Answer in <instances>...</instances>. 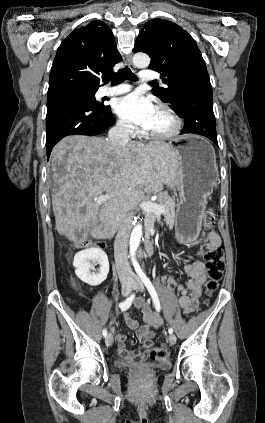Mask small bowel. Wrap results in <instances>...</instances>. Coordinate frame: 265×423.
<instances>
[{"mask_svg": "<svg viewBox=\"0 0 265 423\" xmlns=\"http://www.w3.org/2000/svg\"><path fill=\"white\" fill-rule=\"evenodd\" d=\"M207 242L209 246H219L221 239L215 231H207L201 238ZM203 251L201 250L199 254ZM185 273L189 279L186 283L180 284L172 278H164V281L173 287L178 294V301L185 313H192L198 308V301L201 295V288L206 279L205 264L197 258L190 264L186 265ZM133 307L139 311L141 322L130 316L127 312L124 316L126 325L133 330H136L137 339L141 345L139 349L131 350L126 348V336L122 333H116L115 339L118 343V353L122 359L127 362L144 359L147 357L149 350L152 347V339L154 337V328H159L163 321L162 318L152 311L143 298H137L134 301Z\"/></svg>", "mask_w": 265, "mask_h": 423, "instance_id": "1", "label": "small bowel"}]
</instances>
